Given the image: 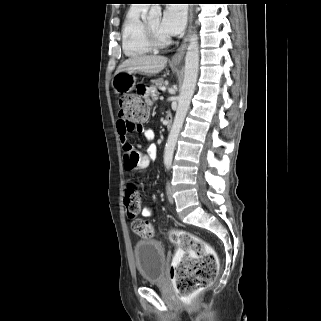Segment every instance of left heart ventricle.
<instances>
[{
  "mask_svg": "<svg viewBox=\"0 0 321 321\" xmlns=\"http://www.w3.org/2000/svg\"><path fill=\"white\" fill-rule=\"evenodd\" d=\"M148 24L154 31V33L159 37V38H166L168 35H166L164 32L161 31L160 29V17H155L151 18L148 21Z\"/></svg>",
  "mask_w": 321,
  "mask_h": 321,
  "instance_id": "left-heart-ventricle-1",
  "label": "left heart ventricle"
}]
</instances>
